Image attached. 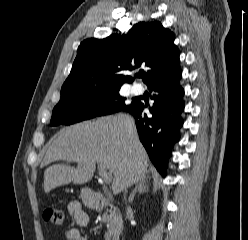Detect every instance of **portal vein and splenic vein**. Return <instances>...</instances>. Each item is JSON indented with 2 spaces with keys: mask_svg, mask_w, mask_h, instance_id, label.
<instances>
[{
  "mask_svg": "<svg viewBox=\"0 0 248 240\" xmlns=\"http://www.w3.org/2000/svg\"><path fill=\"white\" fill-rule=\"evenodd\" d=\"M99 175L106 183H110L112 181V174L103 166H99Z\"/></svg>",
  "mask_w": 248,
  "mask_h": 240,
  "instance_id": "obj_1",
  "label": "portal vein and splenic vein"
}]
</instances>
